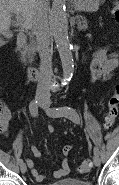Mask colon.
<instances>
[{
	"label": "colon",
	"instance_id": "colon-1",
	"mask_svg": "<svg viewBox=\"0 0 119 185\" xmlns=\"http://www.w3.org/2000/svg\"><path fill=\"white\" fill-rule=\"evenodd\" d=\"M112 14L116 20H119V6L114 5L112 8ZM118 106H119V85L115 87L113 94L110 96L108 100V110L105 117V126L110 128L114 125L117 114H118ZM6 122V114L4 113L2 107L0 106V128L1 131H4V125ZM92 162L89 159L83 160L79 166L78 170L81 173H88L92 170Z\"/></svg>",
	"mask_w": 119,
	"mask_h": 185
}]
</instances>
